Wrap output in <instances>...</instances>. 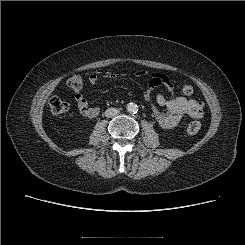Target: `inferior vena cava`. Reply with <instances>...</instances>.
I'll list each match as a JSON object with an SVG mask.
<instances>
[{"label":"inferior vena cava","instance_id":"602c4592","mask_svg":"<svg viewBox=\"0 0 245 245\" xmlns=\"http://www.w3.org/2000/svg\"><path fill=\"white\" fill-rule=\"evenodd\" d=\"M120 111L116 108H108L106 111H105V116L107 118H110V117H113V116H116Z\"/></svg>","mask_w":245,"mask_h":245}]
</instances>
